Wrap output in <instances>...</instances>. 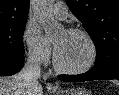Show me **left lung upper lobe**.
<instances>
[{
  "mask_svg": "<svg viewBox=\"0 0 119 95\" xmlns=\"http://www.w3.org/2000/svg\"><path fill=\"white\" fill-rule=\"evenodd\" d=\"M96 46L92 69L104 72L119 63V0H66Z\"/></svg>",
  "mask_w": 119,
  "mask_h": 95,
  "instance_id": "left-lung-upper-lobe-1",
  "label": "left lung upper lobe"
}]
</instances>
